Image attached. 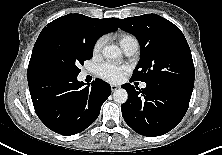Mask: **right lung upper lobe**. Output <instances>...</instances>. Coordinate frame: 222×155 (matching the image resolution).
Instances as JSON below:
<instances>
[{
    "label": "right lung upper lobe",
    "instance_id": "1",
    "mask_svg": "<svg viewBox=\"0 0 222 155\" xmlns=\"http://www.w3.org/2000/svg\"><path fill=\"white\" fill-rule=\"evenodd\" d=\"M116 19L117 18L97 19L90 18L81 14H68L52 21L46 27H44L38 39L51 28L69 23L77 25H87L95 31L97 37L99 38L105 33L118 29ZM27 78L30 94L38 95L46 94L47 92H49L54 80L56 79L42 68L37 59L35 48H33L31 59L29 62Z\"/></svg>",
    "mask_w": 222,
    "mask_h": 155
}]
</instances>
